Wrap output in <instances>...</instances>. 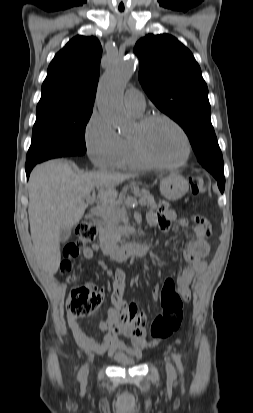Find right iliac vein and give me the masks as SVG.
I'll return each mask as SVG.
<instances>
[{"label": "right iliac vein", "mask_w": 253, "mask_h": 413, "mask_svg": "<svg viewBox=\"0 0 253 413\" xmlns=\"http://www.w3.org/2000/svg\"><path fill=\"white\" fill-rule=\"evenodd\" d=\"M88 365H85L83 368H82V370H81V372H80V378L81 379H85L86 378V376H87V374H88Z\"/></svg>", "instance_id": "1"}]
</instances>
